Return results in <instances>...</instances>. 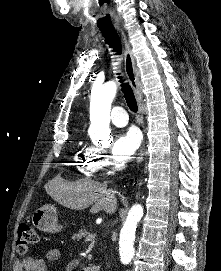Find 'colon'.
I'll return each mask as SVG.
<instances>
[{
    "label": "colon",
    "mask_w": 221,
    "mask_h": 271,
    "mask_svg": "<svg viewBox=\"0 0 221 271\" xmlns=\"http://www.w3.org/2000/svg\"><path fill=\"white\" fill-rule=\"evenodd\" d=\"M38 236L34 228L27 223H20L16 239V252L20 256L28 255L37 245Z\"/></svg>",
    "instance_id": "5ec220e1"
}]
</instances>
